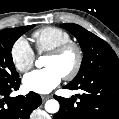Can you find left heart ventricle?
Returning <instances> with one entry per match:
<instances>
[{
    "label": "left heart ventricle",
    "mask_w": 119,
    "mask_h": 119,
    "mask_svg": "<svg viewBox=\"0 0 119 119\" xmlns=\"http://www.w3.org/2000/svg\"><path fill=\"white\" fill-rule=\"evenodd\" d=\"M75 61V53L73 51H69L60 57L48 55L44 62V66L47 68H55L63 76L74 67Z\"/></svg>",
    "instance_id": "b2bd125f"
}]
</instances>
